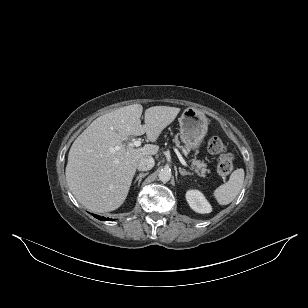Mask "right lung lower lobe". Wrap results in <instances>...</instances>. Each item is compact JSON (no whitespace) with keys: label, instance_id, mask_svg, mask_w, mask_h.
<instances>
[{"label":"right lung lower lobe","instance_id":"obj_1","mask_svg":"<svg viewBox=\"0 0 308 308\" xmlns=\"http://www.w3.org/2000/svg\"><path fill=\"white\" fill-rule=\"evenodd\" d=\"M94 217H96V218L99 219V220H103V221H105V220L110 221V220H111V219H109V218L100 217V216H98V215H94Z\"/></svg>","mask_w":308,"mask_h":308}]
</instances>
